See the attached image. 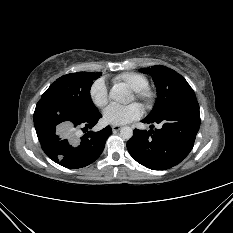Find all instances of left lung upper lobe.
I'll list each match as a JSON object with an SVG mask.
<instances>
[{
    "label": "left lung upper lobe",
    "mask_w": 233,
    "mask_h": 233,
    "mask_svg": "<svg viewBox=\"0 0 233 233\" xmlns=\"http://www.w3.org/2000/svg\"><path fill=\"white\" fill-rule=\"evenodd\" d=\"M140 72L152 75L158 92L156 103L146 117L149 120L162 117L185 92L192 89L184 77L165 66H152L140 69Z\"/></svg>",
    "instance_id": "5c2ea615"
}]
</instances>
